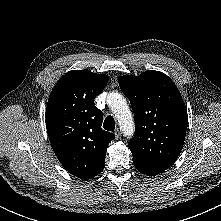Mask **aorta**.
<instances>
[{"mask_svg":"<svg viewBox=\"0 0 221 221\" xmlns=\"http://www.w3.org/2000/svg\"><path fill=\"white\" fill-rule=\"evenodd\" d=\"M107 103L115 114L123 133L128 137L132 136L134 133L133 117L122 95L117 92H111Z\"/></svg>","mask_w":221,"mask_h":221,"instance_id":"obj_1","label":"aorta"}]
</instances>
